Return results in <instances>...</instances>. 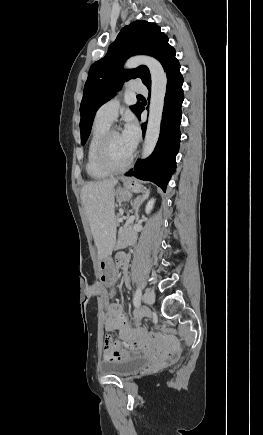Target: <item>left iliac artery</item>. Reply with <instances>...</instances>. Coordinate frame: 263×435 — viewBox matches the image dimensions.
I'll return each mask as SVG.
<instances>
[{"label": "left iliac artery", "instance_id": "left-iliac-artery-1", "mask_svg": "<svg viewBox=\"0 0 263 435\" xmlns=\"http://www.w3.org/2000/svg\"><path fill=\"white\" fill-rule=\"evenodd\" d=\"M140 300H141V289L140 287H138L133 298V303L135 307L138 308L140 306Z\"/></svg>", "mask_w": 263, "mask_h": 435}]
</instances>
